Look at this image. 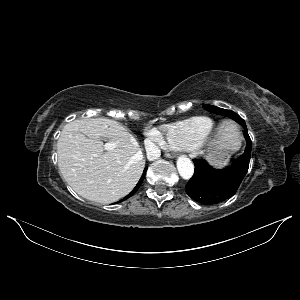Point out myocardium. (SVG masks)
Returning a JSON list of instances; mask_svg holds the SVG:
<instances>
[{
	"mask_svg": "<svg viewBox=\"0 0 300 300\" xmlns=\"http://www.w3.org/2000/svg\"><path fill=\"white\" fill-rule=\"evenodd\" d=\"M203 143H201L198 147H200Z\"/></svg>",
	"mask_w": 300,
	"mask_h": 300,
	"instance_id": "1",
	"label": "myocardium"
}]
</instances>
